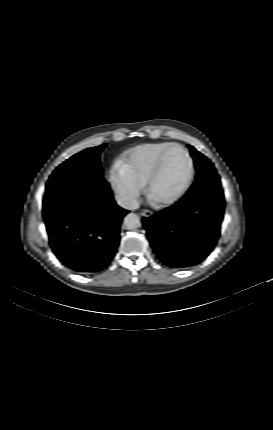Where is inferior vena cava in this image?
I'll list each match as a JSON object with an SVG mask.
<instances>
[{
  "mask_svg": "<svg viewBox=\"0 0 273 430\" xmlns=\"http://www.w3.org/2000/svg\"><path fill=\"white\" fill-rule=\"evenodd\" d=\"M115 198L118 205L121 206L122 208H125L128 210H134L139 207V202L132 197L118 195Z\"/></svg>",
  "mask_w": 273,
  "mask_h": 430,
  "instance_id": "602c4592",
  "label": "inferior vena cava"
}]
</instances>
